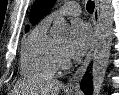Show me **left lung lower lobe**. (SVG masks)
I'll return each instance as SVG.
<instances>
[{"instance_id": "0a47b994", "label": "left lung lower lobe", "mask_w": 119, "mask_h": 95, "mask_svg": "<svg viewBox=\"0 0 119 95\" xmlns=\"http://www.w3.org/2000/svg\"><path fill=\"white\" fill-rule=\"evenodd\" d=\"M80 87L83 90L85 95L92 94V83H91L90 76L88 74L84 76Z\"/></svg>"}]
</instances>
